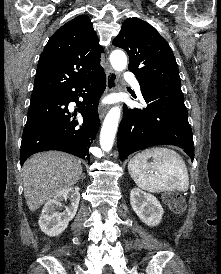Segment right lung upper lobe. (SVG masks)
I'll list each match as a JSON object with an SVG mask.
<instances>
[{
    "label": "right lung upper lobe",
    "mask_w": 221,
    "mask_h": 274,
    "mask_svg": "<svg viewBox=\"0 0 221 274\" xmlns=\"http://www.w3.org/2000/svg\"><path fill=\"white\" fill-rule=\"evenodd\" d=\"M102 51L88 16L64 24L41 53L31 100L58 93L101 71Z\"/></svg>",
    "instance_id": "cb5924a9"
}]
</instances>
